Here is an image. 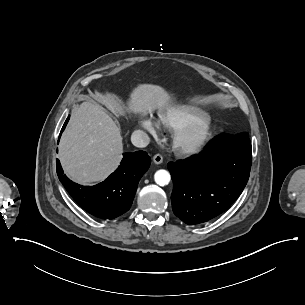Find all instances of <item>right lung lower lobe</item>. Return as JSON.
Segmentation results:
<instances>
[{
    "instance_id": "obj_1",
    "label": "right lung lower lobe",
    "mask_w": 305,
    "mask_h": 305,
    "mask_svg": "<svg viewBox=\"0 0 305 305\" xmlns=\"http://www.w3.org/2000/svg\"><path fill=\"white\" fill-rule=\"evenodd\" d=\"M70 116L65 121V129ZM59 136V138H60ZM120 166L102 183L81 186L68 179L59 160H56L57 175L76 203L95 217L113 219L127 212L133 202L138 182L148 170L151 159L144 151L124 153Z\"/></svg>"
}]
</instances>
